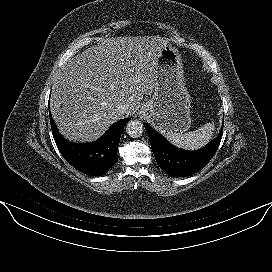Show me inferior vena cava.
<instances>
[{
    "mask_svg": "<svg viewBox=\"0 0 272 272\" xmlns=\"http://www.w3.org/2000/svg\"><path fill=\"white\" fill-rule=\"evenodd\" d=\"M115 110L119 114H124L128 110V107H127V105L120 103V104L116 105Z\"/></svg>",
    "mask_w": 272,
    "mask_h": 272,
    "instance_id": "602c4592",
    "label": "inferior vena cava"
}]
</instances>
